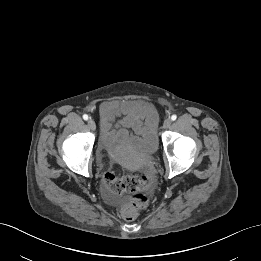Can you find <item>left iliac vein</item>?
I'll use <instances>...</instances> for the list:
<instances>
[{"label": "left iliac vein", "mask_w": 261, "mask_h": 261, "mask_svg": "<svg viewBox=\"0 0 261 261\" xmlns=\"http://www.w3.org/2000/svg\"><path fill=\"white\" fill-rule=\"evenodd\" d=\"M171 123H172L171 119L170 118H166L164 123H163V127L165 129H167V128H169L171 126Z\"/></svg>", "instance_id": "left-iliac-vein-1"}]
</instances>
